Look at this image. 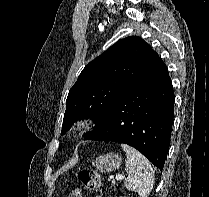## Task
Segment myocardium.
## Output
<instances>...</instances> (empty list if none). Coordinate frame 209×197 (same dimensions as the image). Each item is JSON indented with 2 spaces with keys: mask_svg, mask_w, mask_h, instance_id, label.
Returning a JSON list of instances; mask_svg holds the SVG:
<instances>
[{
  "mask_svg": "<svg viewBox=\"0 0 209 197\" xmlns=\"http://www.w3.org/2000/svg\"><path fill=\"white\" fill-rule=\"evenodd\" d=\"M95 120L90 116L78 118L68 132L70 138H78L83 135L93 124Z\"/></svg>",
  "mask_w": 209,
  "mask_h": 197,
  "instance_id": "obj_1",
  "label": "myocardium"
}]
</instances>
